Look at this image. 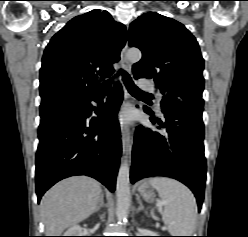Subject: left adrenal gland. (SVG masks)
Here are the masks:
<instances>
[{"label":"left adrenal gland","mask_w":248,"mask_h":237,"mask_svg":"<svg viewBox=\"0 0 248 237\" xmlns=\"http://www.w3.org/2000/svg\"><path fill=\"white\" fill-rule=\"evenodd\" d=\"M137 201H138V204H139V207L137 209V212L144 211V206L142 204L141 199L140 198H137Z\"/></svg>","instance_id":"a2214340"}]
</instances>
